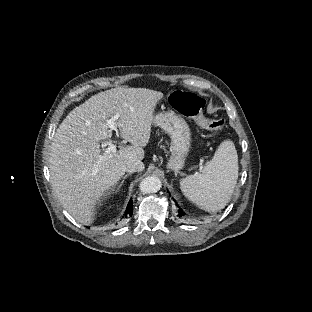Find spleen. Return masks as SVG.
<instances>
[{"instance_id": "3e777b00", "label": "spleen", "mask_w": 312, "mask_h": 312, "mask_svg": "<svg viewBox=\"0 0 312 312\" xmlns=\"http://www.w3.org/2000/svg\"><path fill=\"white\" fill-rule=\"evenodd\" d=\"M238 155L230 140L223 141L200 174L180 181L184 196L206 211H218L229 202L238 179Z\"/></svg>"}]
</instances>
